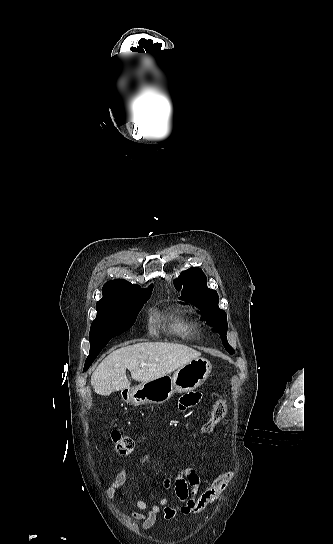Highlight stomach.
Instances as JSON below:
<instances>
[{
  "instance_id": "stomach-1",
  "label": "stomach",
  "mask_w": 333,
  "mask_h": 544,
  "mask_svg": "<svg viewBox=\"0 0 333 544\" xmlns=\"http://www.w3.org/2000/svg\"><path fill=\"white\" fill-rule=\"evenodd\" d=\"M211 369L212 365L205 358L191 360L178 368L172 378L165 375L129 388L125 400L134 406L147 403L163 404L176 392H188L202 385Z\"/></svg>"
}]
</instances>
